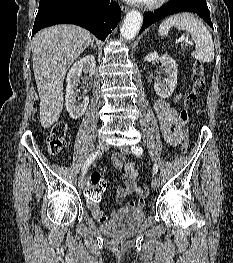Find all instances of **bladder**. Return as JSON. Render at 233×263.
<instances>
[{"label":"bladder","mask_w":233,"mask_h":263,"mask_svg":"<svg viewBox=\"0 0 233 263\" xmlns=\"http://www.w3.org/2000/svg\"><path fill=\"white\" fill-rule=\"evenodd\" d=\"M141 209L121 208L105 222H101V232L109 237L126 238L133 235L145 219Z\"/></svg>","instance_id":"31cf9c89"}]
</instances>
